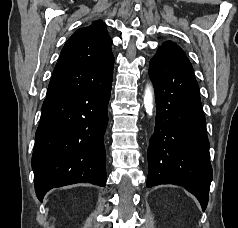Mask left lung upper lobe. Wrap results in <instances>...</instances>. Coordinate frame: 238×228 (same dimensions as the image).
Here are the masks:
<instances>
[{
  "instance_id": "obj_1",
  "label": "left lung upper lobe",
  "mask_w": 238,
  "mask_h": 228,
  "mask_svg": "<svg viewBox=\"0 0 238 228\" xmlns=\"http://www.w3.org/2000/svg\"><path fill=\"white\" fill-rule=\"evenodd\" d=\"M160 48L169 50L173 53L179 54V55L187 58L186 55L184 54V52L182 51V49L173 42L166 41L162 44V46Z\"/></svg>"
}]
</instances>
